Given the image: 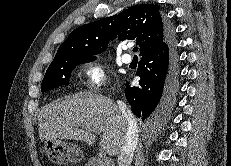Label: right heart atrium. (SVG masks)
I'll return each instance as SVG.
<instances>
[{
    "mask_svg": "<svg viewBox=\"0 0 231 166\" xmlns=\"http://www.w3.org/2000/svg\"><path fill=\"white\" fill-rule=\"evenodd\" d=\"M83 75L86 88L98 90L104 83V66L99 60H88L83 65Z\"/></svg>",
    "mask_w": 231,
    "mask_h": 166,
    "instance_id": "1",
    "label": "right heart atrium"
}]
</instances>
